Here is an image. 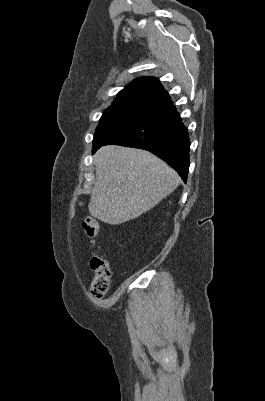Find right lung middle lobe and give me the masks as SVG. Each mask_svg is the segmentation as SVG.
<instances>
[{"label": "right lung middle lobe", "instance_id": "1", "mask_svg": "<svg viewBox=\"0 0 265 401\" xmlns=\"http://www.w3.org/2000/svg\"><path fill=\"white\" fill-rule=\"evenodd\" d=\"M163 107L148 103L112 105L103 112L93 139V145L101 144L122 129L152 115Z\"/></svg>", "mask_w": 265, "mask_h": 401}]
</instances>
